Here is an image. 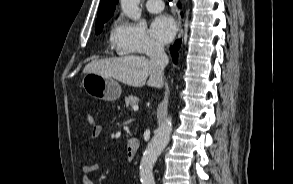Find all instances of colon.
Segmentation results:
<instances>
[{
    "label": "colon",
    "instance_id": "1",
    "mask_svg": "<svg viewBox=\"0 0 293 184\" xmlns=\"http://www.w3.org/2000/svg\"><path fill=\"white\" fill-rule=\"evenodd\" d=\"M87 123L89 125H94L95 124V118H94L93 114L89 113L87 115Z\"/></svg>",
    "mask_w": 293,
    "mask_h": 184
}]
</instances>
